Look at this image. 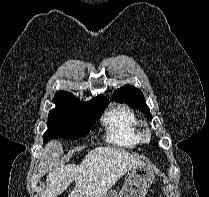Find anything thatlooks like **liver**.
I'll return each instance as SVG.
<instances>
[{
  "mask_svg": "<svg viewBox=\"0 0 209 197\" xmlns=\"http://www.w3.org/2000/svg\"><path fill=\"white\" fill-rule=\"evenodd\" d=\"M49 160H55L61 145L53 140L46 145ZM143 162L125 150L105 146L86 154L79 165L67 164L50 170L46 178L43 197H57L75 181V187L68 197H101L133 167Z\"/></svg>",
  "mask_w": 209,
  "mask_h": 197,
  "instance_id": "1",
  "label": "liver"
}]
</instances>
